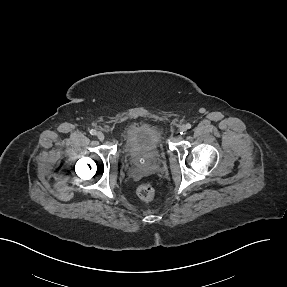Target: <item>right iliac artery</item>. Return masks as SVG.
<instances>
[{
    "label": "right iliac artery",
    "mask_w": 287,
    "mask_h": 287,
    "mask_svg": "<svg viewBox=\"0 0 287 287\" xmlns=\"http://www.w3.org/2000/svg\"><path fill=\"white\" fill-rule=\"evenodd\" d=\"M90 134H91V135H96L97 132H96V130L92 129V130H90Z\"/></svg>",
    "instance_id": "obj_1"
}]
</instances>
